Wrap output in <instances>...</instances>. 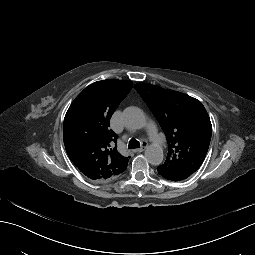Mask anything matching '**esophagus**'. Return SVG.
Returning a JSON list of instances; mask_svg holds the SVG:
<instances>
[{
  "label": "esophagus",
  "mask_w": 255,
  "mask_h": 255,
  "mask_svg": "<svg viewBox=\"0 0 255 255\" xmlns=\"http://www.w3.org/2000/svg\"><path fill=\"white\" fill-rule=\"evenodd\" d=\"M144 149H145V147H142V148H138V149H136V152H143L144 151Z\"/></svg>",
  "instance_id": "esophagus-1"
}]
</instances>
